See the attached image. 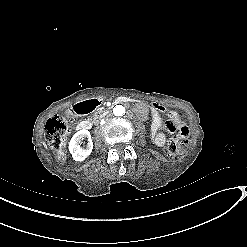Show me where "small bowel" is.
I'll list each match as a JSON object with an SVG mask.
<instances>
[{"mask_svg":"<svg viewBox=\"0 0 247 247\" xmlns=\"http://www.w3.org/2000/svg\"><path fill=\"white\" fill-rule=\"evenodd\" d=\"M151 115H152V119L154 123H158L160 116L156 115L153 113L152 109H151ZM168 118H170L171 120L174 121V123L176 124L177 128L181 129L182 127H186L184 124H182L179 115L176 112H169L168 113ZM153 140L154 143L158 146V147H163L166 144V137L162 132H155L153 134Z\"/></svg>","mask_w":247,"mask_h":247,"instance_id":"obj_1","label":"small bowel"}]
</instances>
